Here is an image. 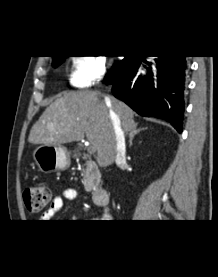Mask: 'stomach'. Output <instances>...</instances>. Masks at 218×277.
<instances>
[{
  "instance_id": "1",
  "label": "stomach",
  "mask_w": 218,
  "mask_h": 277,
  "mask_svg": "<svg viewBox=\"0 0 218 277\" xmlns=\"http://www.w3.org/2000/svg\"><path fill=\"white\" fill-rule=\"evenodd\" d=\"M33 159L44 173L65 170L70 166V154L63 146L41 145L34 150Z\"/></svg>"
}]
</instances>
